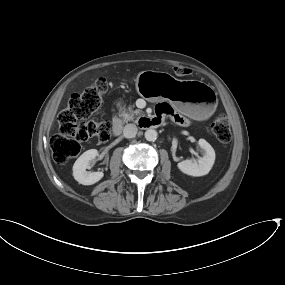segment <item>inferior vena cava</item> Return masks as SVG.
<instances>
[{
    "instance_id": "obj_1",
    "label": "inferior vena cava",
    "mask_w": 285,
    "mask_h": 285,
    "mask_svg": "<svg viewBox=\"0 0 285 285\" xmlns=\"http://www.w3.org/2000/svg\"><path fill=\"white\" fill-rule=\"evenodd\" d=\"M137 126L135 124H127L123 129V134L126 138H133L137 134Z\"/></svg>"
}]
</instances>
